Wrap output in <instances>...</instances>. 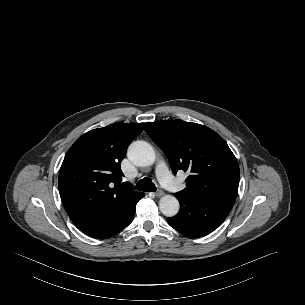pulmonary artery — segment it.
<instances>
[{
  "mask_svg": "<svg viewBox=\"0 0 305 305\" xmlns=\"http://www.w3.org/2000/svg\"><path fill=\"white\" fill-rule=\"evenodd\" d=\"M156 176L161 182V184L167 188H175L178 186V182L170 174L169 169L164 161H161L157 164Z\"/></svg>",
  "mask_w": 305,
  "mask_h": 305,
  "instance_id": "e3ab8cb5",
  "label": "pulmonary artery"
}]
</instances>
